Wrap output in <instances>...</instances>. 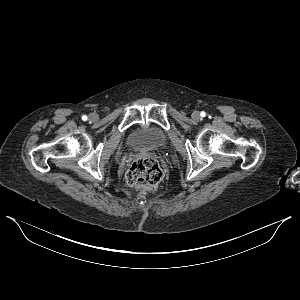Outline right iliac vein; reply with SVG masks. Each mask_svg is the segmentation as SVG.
<instances>
[{"label":"right iliac vein","mask_w":300,"mask_h":300,"mask_svg":"<svg viewBox=\"0 0 300 300\" xmlns=\"http://www.w3.org/2000/svg\"><path fill=\"white\" fill-rule=\"evenodd\" d=\"M89 118L91 121H96L98 119V116H97V114L92 113V114H90Z\"/></svg>","instance_id":"obj_1"}]
</instances>
